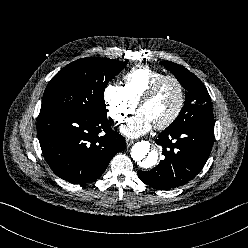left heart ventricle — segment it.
Instances as JSON below:
<instances>
[{
    "instance_id": "1",
    "label": "left heart ventricle",
    "mask_w": 248,
    "mask_h": 248,
    "mask_svg": "<svg viewBox=\"0 0 248 248\" xmlns=\"http://www.w3.org/2000/svg\"><path fill=\"white\" fill-rule=\"evenodd\" d=\"M178 103L177 85L172 80H166L155 95L141 106L140 111L146 114L153 125H156L166 120L175 111Z\"/></svg>"
}]
</instances>
